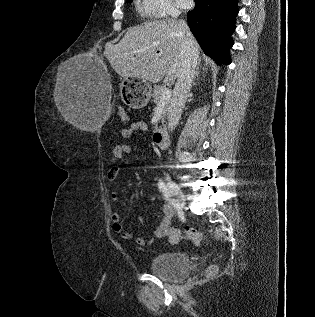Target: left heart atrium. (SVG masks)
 Masks as SVG:
<instances>
[{"label":"left heart atrium","mask_w":315,"mask_h":317,"mask_svg":"<svg viewBox=\"0 0 315 317\" xmlns=\"http://www.w3.org/2000/svg\"><path fill=\"white\" fill-rule=\"evenodd\" d=\"M193 0H177V3L182 8H188L192 5Z\"/></svg>","instance_id":"obj_1"}]
</instances>
